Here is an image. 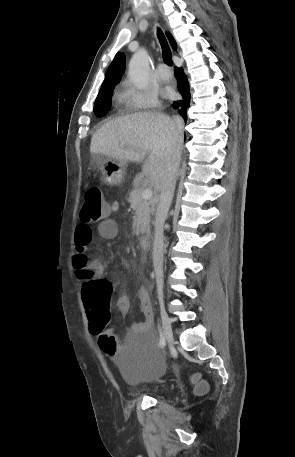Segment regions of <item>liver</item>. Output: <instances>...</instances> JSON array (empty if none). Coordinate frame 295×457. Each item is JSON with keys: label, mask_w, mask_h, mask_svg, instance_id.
I'll list each match as a JSON object with an SVG mask.
<instances>
[{"label": "liver", "mask_w": 295, "mask_h": 457, "mask_svg": "<svg viewBox=\"0 0 295 457\" xmlns=\"http://www.w3.org/2000/svg\"><path fill=\"white\" fill-rule=\"evenodd\" d=\"M182 129V123L178 128L165 114L134 113L104 124L93 135L90 152L125 162L144 161L142 172L158 191L168 160L177 149L181 154Z\"/></svg>", "instance_id": "obj_1"}]
</instances>
